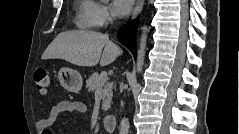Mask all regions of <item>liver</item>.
I'll list each match as a JSON object with an SVG mask.
<instances>
[{"label": "liver", "instance_id": "6515ba94", "mask_svg": "<svg viewBox=\"0 0 239 134\" xmlns=\"http://www.w3.org/2000/svg\"><path fill=\"white\" fill-rule=\"evenodd\" d=\"M103 50V52H102ZM122 50L108 35L90 30L62 32L46 48L42 59H63L77 66L91 67L111 64Z\"/></svg>", "mask_w": 239, "mask_h": 134}]
</instances>
